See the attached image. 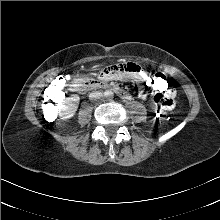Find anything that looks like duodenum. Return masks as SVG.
Returning <instances> with one entry per match:
<instances>
[{
	"label": "duodenum",
	"mask_w": 220,
	"mask_h": 220,
	"mask_svg": "<svg viewBox=\"0 0 220 220\" xmlns=\"http://www.w3.org/2000/svg\"><path fill=\"white\" fill-rule=\"evenodd\" d=\"M69 88L73 91H84L88 88H93V89H100V88H103L104 86L103 85H99V86H92L91 84H88L87 82L85 81H82V80H79V79H76V80H73V81H70L69 82ZM122 97H126L127 94L120 91V90H116Z\"/></svg>",
	"instance_id": "duodenum-1"
}]
</instances>
